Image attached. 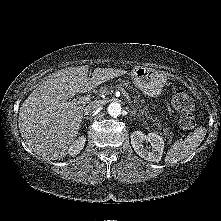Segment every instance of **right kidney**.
Returning <instances> with one entry per match:
<instances>
[{
    "mask_svg": "<svg viewBox=\"0 0 221 221\" xmlns=\"http://www.w3.org/2000/svg\"><path fill=\"white\" fill-rule=\"evenodd\" d=\"M86 138L84 136L78 137L77 140H75L72 145L68 149V154L70 156H76L80 153V151L83 149L85 145Z\"/></svg>",
    "mask_w": 221,
    "mask_h": 221,
    "instance_id": "obj_1",
    "label": "right kidney"
}]
</instances>
